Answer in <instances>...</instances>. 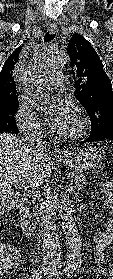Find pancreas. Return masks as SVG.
Masks as SVG:
<instances>
[{
  "mask_svg": "<svg viewBox=\"0 0 113 279\" xmlns=\"http://www.w3.org/2000/svg\"><path fill=\"white\" fill-rule=\"evenodd\" d=\"M71 178L75 181L78 189H82L87 181L86 177L79 172H72Z\"/></svg>",
  "mask_w": 113,
  "mask_h": 279,
  "instance_id": "obj_1",
  "label": "pancreas"
}]
</instances>
